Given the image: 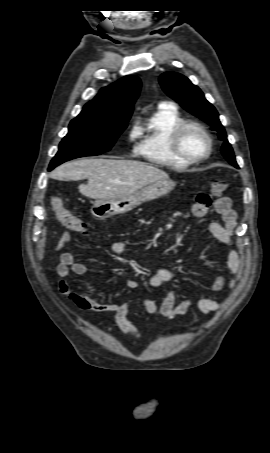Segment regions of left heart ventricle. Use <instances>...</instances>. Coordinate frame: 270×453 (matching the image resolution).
Instances as JSON below:
<instances>
[{"mask_svg": "<svg viewBox=\"0 0 270 453\" xmlns=\"http://www.w3.org/2000/svg\"><path fill=\"white\" fill-rule=\"evenodd\" d=\"M181 147L187 155L198 157L206 152L207 140L199 130L189 128L182 135Z\"/></svg>", "mask_w": 270, "mask_h": 453, "instance_id": "left-heart-ventricle-1", "label": "left heart ventricle"}]
</instances>
